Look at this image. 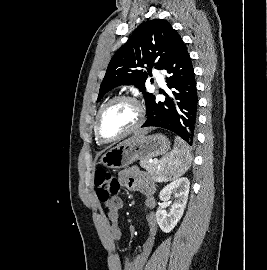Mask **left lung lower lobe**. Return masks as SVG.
<instances>
[{
  "label": "left lung lower lobe",
  "mask_w": 267,
  "mask_h": 270,
  "mask_svg": "<svg viewBox=\"0 0 267 270\" xmlns=\"http://www.w3.org/2000/svg\"><path fill=\"white\" fill-rule=\"evenodd\" d=\"M164 70L167 86L172 91L164 93L166 100L163 103L154 99L142 127L165 128L192 146L195 142L198 97L191 58L182 39Z\"/></svg>",
  "instance_id": "obj_1"
}]
</instances>
